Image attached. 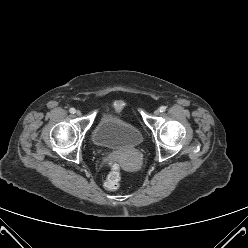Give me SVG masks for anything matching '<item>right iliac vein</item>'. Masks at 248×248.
I'll use <instances>...</instances> for the list:
<instances>
[{
  "label": "right iliac vein",
  "mask_w": 248,
  "mask_h": 248,
  "mask_svg": "<svg viewBox=\"0 0 248 248\" xmlns=\"http://www.w3.org/2000/svg\"><path fill=\"white\" fill-rule=\"evenodd\" d=\"M75 113H76L77 116H81L82 115V113H81L80 110H77Z\"/></svg>",
  "instance_id": "63e3f726"
}]
</instances>
